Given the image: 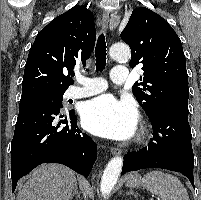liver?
Here are the masks:
<instances>
[{
  "label": "liver",
  "mask_w": 201,
  "mask_h": 200,
  "mask_svg": "<svg viewBox=\"0 0 201 200\" xmlns=\"http://www.w3.org/2000/svg\"><path fill=\"white\" fill-rule=\"evenodd\" d=\"M77 184L74 172L58 164H43L33 170L17 200H70Z\"/></svg>",
  "instance_id": "6515ba94"
}]
</instances>
